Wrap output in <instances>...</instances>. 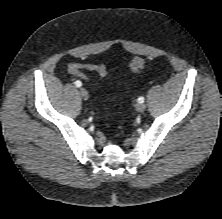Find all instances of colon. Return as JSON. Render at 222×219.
<instances>
[{
    "mask_svg": "<svg viewBox=\"0 0 222 219\" xmlns=\"http://www.w3.org/2000/svg\"><path fill=\"white\" fill-rule=\"evenodd\" d=\"M144 66H145V60L141 57L133 58L129 65L132 73L140 72ZM92 69L93 72L98 74L100 77H106L108 75V69L104 65L95 64Z\"/></svg>",
    "mask_w": 222,
    "mask_h": 219,
    "instance_id": "colon-1",
    "label": "colon"
}]
</instances>
